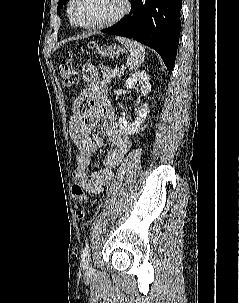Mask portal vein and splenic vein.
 <instances>
[{
    "label": "portal vein and splenic vein",
    "instance_id": "18ae733b",
    "mask_svg": "<svg viewBox=\"0 0 239 303\" xmlns=\"http://www.w3.org/2000/svg\"><path fill=\"white\" fill-rule=\"evenodd\" d=\"M114 72L119 73V68H118V67H115V68H114Z\"/></svg>",
    "mask_w": 239,
    "mask_h": 303
}]
</instances>
